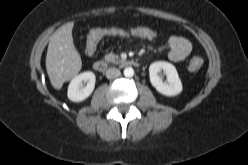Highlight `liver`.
<instances>
[{"instance_id": "liver-1", "label": "liver", "mask_w": 248, "mask_h": 165, "mask_svg": "<svg viewBox=\"0 0 248 165\" xmlns=\"http://www.w3.org/2000/svg\"><path fill=\"white\" fill-rule=\"evenodd\" d=\"M74 22L57 29L50 38L46 55V70L51 85L59 90L81 70V57L73 44Z\"/></svg>"}]
</instances>
